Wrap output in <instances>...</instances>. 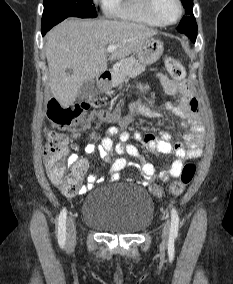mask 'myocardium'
Masks as SVG:
<instances>
[{
    "label": "myocardium",
    "instance_id": "f54148a6",
    "mask_svg": "<svg viewBox=\"0 0 233 284\" xmlns=\"http://www.w3.org/2000/svg\"><path fill=\"white\" fill-rule=\"evenodd\" d=\"M178 6V14L173 21L166 22L160 18L156 10V0H146V8L151 17L161 26H170L176 24L183 15V4L181 0H175Z\"/></svg>",
    "mask_w": 233,
    "mask_h": 284
}]
</instances>
